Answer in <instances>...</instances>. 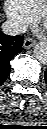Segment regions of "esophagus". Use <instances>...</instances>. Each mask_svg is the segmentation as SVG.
<instances>
[{
	"instance_id": "obj_1",
	"label": "esophagus",
	"mask_w": 47,
	"mask_h": 129,
	"mask_svg": "<svg viewBox=\"0 0 47 129\" xmlns=\"http://www.w3.org/2000/svg\"><path fill=\"white\" fill-rule=\"evenodd\" d=\"M35 44V41L31 38H25L24 39V48L25 49H30L31 47H33V45Z\"/></svg>"
}]
</instances>
